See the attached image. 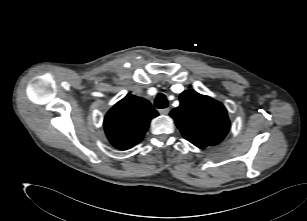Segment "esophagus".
Segmentation results:
<instances>
[{
    "mask_svg": "<svg viewBox=\"0 0 307 221\" xmlns=\"http://www.w3.org/2000/svg\"><path fill=\"white\" fill-rule=\"evenodd\" d=\"M170 112L169 108H163L159 110V113L162 115H167Z\"/></svg>",
    "mask_w": 307,
    "mask_h": 221,
    "instance_id": "obj_1",
    "label": "esophagus"
}]
</instances>
